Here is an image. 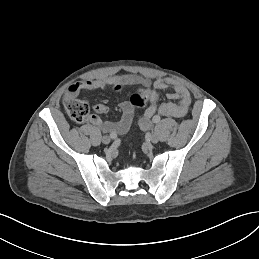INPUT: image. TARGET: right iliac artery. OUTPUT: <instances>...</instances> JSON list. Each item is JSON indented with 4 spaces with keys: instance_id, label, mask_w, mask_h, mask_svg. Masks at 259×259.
Here are the masks:
<instances>
[{
    "instance_id": "82829eb1",
    "label": "right iliac artery",
    "mask_w": 259,
    "mask_h": 259,
    "mask_svg": "<svg viewBox=\"0 0 259 259\" xmlns=\"http://www.w3.org/2000/svg\"><path fill=\"white\" fill-rule=\"evenodd\" d=\"M110 138L111 139H116L117 138V134L116 133H110Z\"/></svg>"
}]
</instances>
